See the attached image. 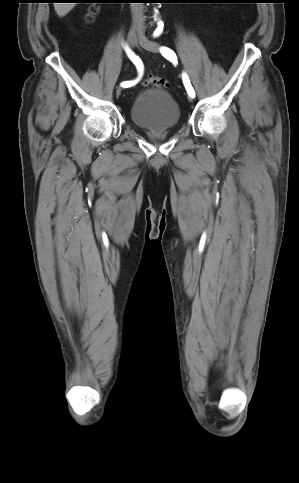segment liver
I'll list each match as a JSON object with an SVG mask.
<instances>
[{"mask_svg": "<svg viewBox=\"0 0 299 483\" xmlns=\"http://www.w3.org/2000/svg\"><path fill=\"white\" fill-rule=\"evenodd\" d=\"M75 3H54V9L59 17L65 16L74 7Z\"/></svg>", "mask_w": 299, "mask_h": 483, "instance_id": "liver-1", "label": "liver"}]
</instances>
